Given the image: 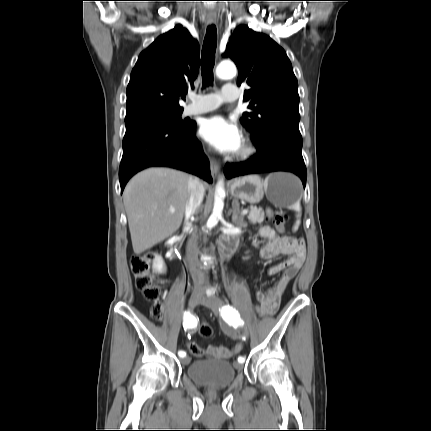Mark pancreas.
I'll use <instances>...</instances> for the list:
<instances>
[{
  "instance_id": "cf45deb5",
  "label": "pancreas",
  "mask_w": 431,
  "mask_h": 431,
  "mask_svg": "<svg viewBox=\"0 0 431 431\" xmlns=\"http://www.w3.org/2000/svg\"><path fill=\"white\" fill-rule=\"evenodd\" d=\"M264 217H265V214L262 208H256V207H251L249 214L247 216L248 220L252 224L262 223L264 221Z\"/></svg>"
}]
</instances>
